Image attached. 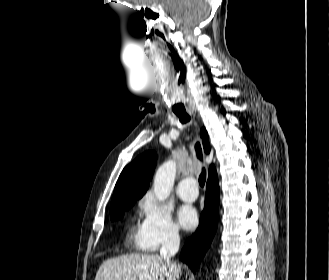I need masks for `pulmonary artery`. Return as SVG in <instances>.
Here are the masks:
<instances>
[{"instance_id":"e3ab8cb5","label":"pulmonary artery","mask_w":329,"mask_h":280,"mask_svg":"<svg viewBox=\"0 0 329 280\" xmlns=\"http://www.w3.org/2000/svg\"><path fill=\"white\" fill-rule=\"evenodd\" d=\"M177 193L184 201H195L198 196L196 180L193 177L181 179L178 183Z\"/></svg>"}]
</instances>
